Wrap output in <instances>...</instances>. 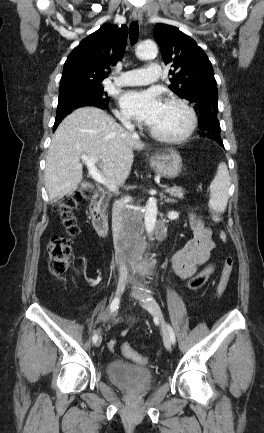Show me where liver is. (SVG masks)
<instances>
[{
	"instance_id": "obj_1",
	"label": "liver",
	"mask_w": 264,
	"mask_h": 433,
	"mask_svg": "<svg viewBox=\"0 0 264 433\" xmlns=\"http://www.w3.org/2000/svg\"><path fill=\"white\" fill-rule=\"evenodd\" d=\"M144 143L121 127L105 111L95 107L79 108L58 126L46 157L45 187L49 200L72 194L79 185L92 187L82 180V155L99 158L102 177L112 186L128 178L134 150Z\"/></svg>"
}]
</instances>
